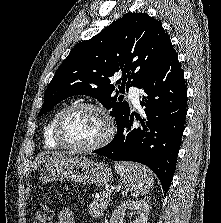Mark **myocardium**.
<instances>
[{
  "instance_id": "myocardium-1",
  "label": "myocardium",
  "mask_w": 221,
  "mask_h": 223,
  "mask_svg": "<svg viewBox=\"0 0 221 223\" xmlns=\"http://www.w3.org/2000/svg\"><path fill=\"white\" fill-rule=\"evenodd\" d=\"M78 109H90L98 112L101 114L107 124V130L106 133L94 144L87 145V146H78V145H73L68 143L62 136V124L66 116L71 113L74 110ZM115 123L111 115L109 114L108 111H106L103 107L93 104V103H74L71 105H68L62 111L59 113L54 130H53V137L54 140L63 148L71 151H76V152H92L96 151L104 146H106L114 137L115 135Z\"/></svg>"
}]
</instances>
